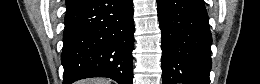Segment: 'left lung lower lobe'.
<instances>
[{"label":"left lung lower lobe","mask_w":260,"mask_h":84,"mask_svg":"<svg viewBox=\"0 0 260 84\" xmlns=\"http://www.w3.org/2000/svg\"><path fill=\"white\" fill-rule=\"evenodd\" d=\"M163 84H209L212 37L203 0H157Z\"/></svg>","instance_id":"obj_1"}]
</instances>
